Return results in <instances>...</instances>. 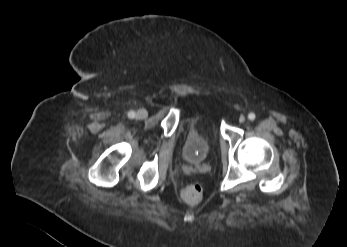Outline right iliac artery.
Masks as SVG:
<instances>
[{
  "instance_id": "right-iliac-artery-1",
  "label": "right iliac artery",
  "mask_w": 347,
  "mask_h": 247,
  "mask_svg": "<svg viewBox=\"0 0 347 247\" xmlns=\"http://www.w3.org/2000/svg\"><path fill=\"white\" fill-rule=\"evenodd\" d=\"M135 115H136V113H135V111H133V110H131V111L128 112V117H129L130 119L134 118Z\"/></svg>"
}]
</instances>
